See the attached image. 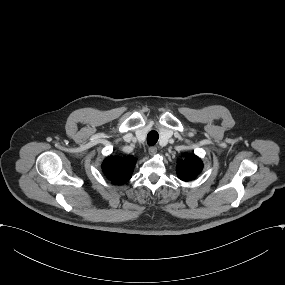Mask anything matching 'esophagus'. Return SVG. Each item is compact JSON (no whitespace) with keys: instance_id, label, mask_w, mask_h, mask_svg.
<instances>
[{"instance_id":"esophagus-1","label":"esophagus","mask_w":285,"mask_h":285,"mask_svg":"<svg viewBox=\"0 0 285 285\" xmlns=\"http://www.w3.org/2000/svg\"><path fill=\"white\" fill-rule=\"evenodd\" d=\"M148 152L151 156H154L157 153V148L155 146H151L149 147Z\"/></svg>"}]
</instances>
